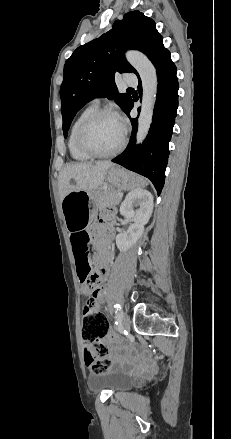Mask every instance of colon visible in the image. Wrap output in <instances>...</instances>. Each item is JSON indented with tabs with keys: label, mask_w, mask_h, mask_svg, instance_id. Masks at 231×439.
<instances>
[{
	"label": "colon",
	"mask_w": 231,
	"mask_h": 439,
	"mask_svg": "<svg viewBox=\"0 0 231 439\" xmlns=\"http://www.w3.org/2000/svg\"><path fill=\"white\" fill-rule=\"evenodd\" d=\"M73 229L79 230V227L74 226ZM78 276L83 283L84 294L91 298V292L97 281L96 275L92 272L91 265L88 263L85 266H81ZM87 302L83 308L82 339L85 345L94 344V353H85L84 360L90 370L99 373L108 370L111 365L110 361L105 358L108 353L107 346L100 341L108 333L107 319L102 313L91 311Z\"/></svg>",
	"instance_id": "obj_1"
}]
</instances>
